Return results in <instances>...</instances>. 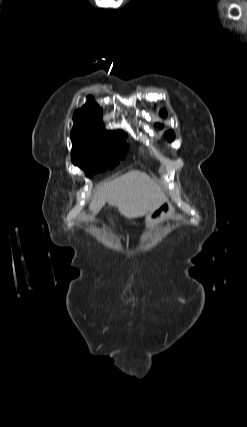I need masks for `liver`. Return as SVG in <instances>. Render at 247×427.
Here are the masks:
<instances>
[{
    "mask_svg": "<svg viewBox=\"0 0 247 427\" xmlns=\"http://www.w3.org/2000/svg\"><path fill=\"white\" fill-rule=\"evenodd\" d=\"M167 200L165 193L149 175L139 170L100 186L92 197L89 209L96 215L106 203L117 207L129 219L145 216Z\"/></svg>",
    "mask_w": 247,
    "mask_h": 427,
    "instance_id": "obj_1",
    "label": "liver"
}]
</instances>
